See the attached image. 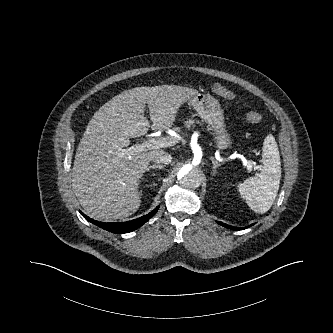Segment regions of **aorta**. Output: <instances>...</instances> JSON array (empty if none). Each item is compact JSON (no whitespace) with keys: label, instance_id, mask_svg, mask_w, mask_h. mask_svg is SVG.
I'll return each instance as SVG.
<instances>
[{"label":"aorta","instance_id":"obj_1","mask_svg":"<svg viewBox=\"0 0 333 333\" xmlns=\"http://www.w3.org/2000/svg\"><path fill=\"white\" fill-rule=\"evenodd\" d=\"M178 180L189 188L198 187L201 184V173L190 164H185L178 172Z\"/></svg>","mask_w":333,"mask_h":333}]
</instances>
